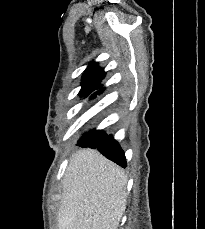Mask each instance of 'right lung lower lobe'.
Listing matches in <instances>:
<instances>
[{
	"label": "right lung lower lobe",
	"mask_w": 205,
	"mask_h": 229,
	"mask_svg": "<svg viewBox=\"0 0 205 229\" xmlns=\"http://www.w3.org/2000/svg\"><path fill=\"white\" fill-rule=\"evenodd\" d=\"M97 94H100L104 88L100 86ZM95 96V94L93 95ZM77 145L81 147L97 148L100 153H102L108 159L114 161L122 167H126V159L124 152L121 150L119 144L114 138L102 131L93 130L83 135V137L78 141Z\"/></svg>",
	"instance_id": "1"
}]
</instances>
